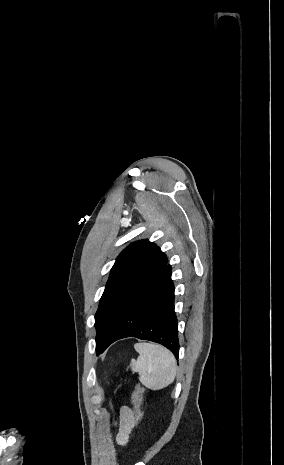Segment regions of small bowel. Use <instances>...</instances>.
I'll return each mask as SVG.
<instances>
[{"instance_id": "small-bowel-1", "label": "small bowel", "mask_w": 284, "mask_h": 465, "mask_svg": "<svg viewBox=\"0 0 284 465\" xmlns=\"http://www.w3.org/2000/svg\"><path fill=\"white\" fill-rule=\"evenodd\" d=\"M135 424V413L126 406L122 407L120 410L119 428L116 435V441L119 445H124L127 443Z\"/></svg>"}]
</instances>
